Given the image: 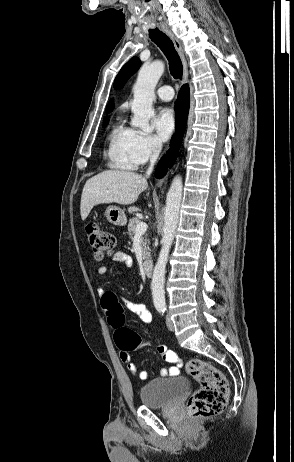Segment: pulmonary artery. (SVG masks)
I'll return each mask as SVG.
<instances>
[{"instance_id":"obj_1","label":"pulmonary artery","mask_w":294,"mask_h":462,"mask_svg":"<svg viewBox=\"0 0 294 462\" xmlns=\"http://www.w3.org/2000/svg\"><path fill=\"white\" fill-rule=\"evenodd\" d=\"M156 93L162 101H170L174 97L173 88L169 85L158 88Z\"/></svg>"}]
</instances>
